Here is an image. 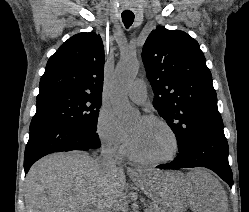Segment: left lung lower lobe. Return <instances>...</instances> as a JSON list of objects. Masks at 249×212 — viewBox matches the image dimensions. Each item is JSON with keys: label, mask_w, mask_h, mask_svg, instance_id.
Wrapping results in <instances>:
<instances>
[{"label": "left lung lower lobe", "mask_w": 249, "mask_h": 212, "mask_svg": "<svg viewBox=\"0 0 249 212\" xmlns=\"http://www.w3.org/2000/svg\"><path fill=\"white\" fill-rule=\"evenodd\" d=\"M228 143L223 129H212L193 135L188 144L179 149L171 163L159 165V169L205 167L219 175L230 187L232 171L228 163Z\"/></svg>", "instance_id": "obj_1"}]
</instances>
